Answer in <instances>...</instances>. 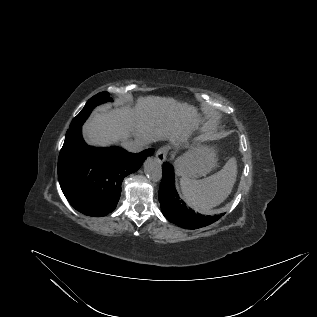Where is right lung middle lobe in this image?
<instances>
[{
  "label": "right lung middle lobe",
  "mask_w": 317,
  "mask_h": 317,
  "mask_svg": "<svg viewBox=\"0 0 317 317\" xmlns=\"http://www.w3.org/2000/svg\"><path fill=\"white\" fill-rule=\"evenodd\" d=\"M107 101H112V98L109 96L108 92L98 93L89 99L82 111L71 122L70 128L66 133V137L84 123L95 106Z\"/></svg>",
  "instance_id": "dd1d6c3e"
}]
</instances>
